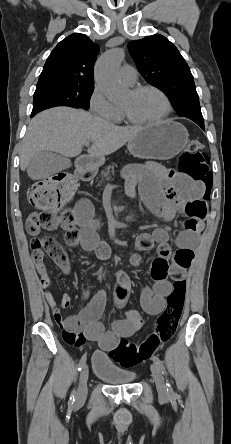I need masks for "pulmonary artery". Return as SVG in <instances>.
I'll list each match as a JSON object with an SVG mask.
<instances>
[{"label": "pulmonary artery", "instance_id": "obj_1", "mask_svg": "<svg viewBox=\"0 0 231 444\" xmlns=\"http://www.w3.org/2000/svg\"><path fill=\"white\" fill-rule=\"evenodd\" d=\"M119 77L124 83L133 85L137 80V71L132 66L124 65L119 71Z\"/></svg>", "mask_w": 231, "mask_h": 444}]
</instances>
